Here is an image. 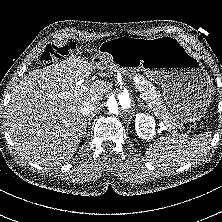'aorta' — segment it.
<instances>
[{
    "instance_id": "obj_1",
    "label": "aorta",
    "mask_w": 222,
    "mask_h": 222,
    "mask_svg": "<svg viewBox=\"0 0 222 222\" xmlns=\"http://www.w3.org/2000/svg\"><path fill=\"white\" fill-rule=\"evenodd\" d=\"M106 107L112 115L120 116L131 107V99L124 93L119 94L117 98L111 96L107 99Z\"/></svg>"
}]
</instances>
